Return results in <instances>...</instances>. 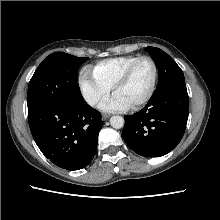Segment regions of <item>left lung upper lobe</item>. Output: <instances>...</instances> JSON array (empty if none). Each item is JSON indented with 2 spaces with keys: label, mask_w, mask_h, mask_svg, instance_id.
Masks as SVG:
<instances>
[{
  "label": "left lung upper lobe",
  "mask_w": 220,
  "mask_h": 220,
  "mask_svg": "<svg viewBox=\"0 0 220 220\" xmlns=\"http://www.w3.org/2000/svg\"><path fill=\"white\" fill-rule=\"evenodd\" d=\"M147 50L152 55L159 73L157 88L154 92L174 83L185 82L182 70L167 53L156 47H147Z\"/></svg>",
  "instance_id": "5c2ea615"
}]
</instances>
